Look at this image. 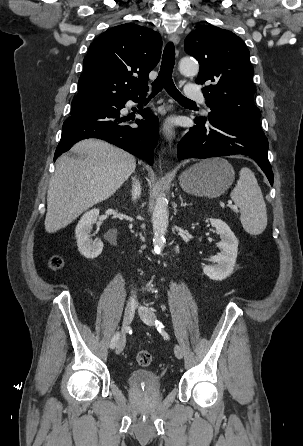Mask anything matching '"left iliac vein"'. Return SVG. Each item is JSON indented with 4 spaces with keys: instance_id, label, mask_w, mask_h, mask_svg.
I'll return each instance as SVG.
<instances>
[{
    "instance_id": "left-iliac-vein-1",
    "label": "left iliac vein",
    "mask_w": 303,
    "mask_h": 446,
    "mask_svg": "<svg viewBox=\"0 0 303 446\" xmlns=\"http://www.w3.org/2000/svg\"><path fill=\"white\" fill-rule=\"evenodd\" d=\"M138 313H139L141 319H142L147 325H153L156 316H155V314H154V312H153L152 310H150V309L147 308V307L140 306L139 309H138ZM174 353H175V356H176L178 359H182V357H183V349L181 348L180 345H175V347H174Z\"/></svg>"
}]
</instances>
